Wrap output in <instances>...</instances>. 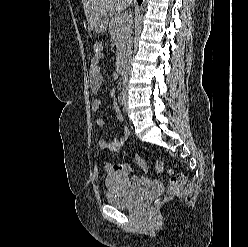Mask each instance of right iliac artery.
I'll return each instance as SVG.
<instances>
[{"mask_svg":"<svg viewBox=\"0 0 248 247\" xmlns=\"http://www.w3.org/2000/svg\"><path fill=\"white\" fill-rule=\"evenodd\" d=\"M118 101H119L120 105L124 104V93H123V91L119 94Z\"/></svg>","mask_w":248,"mask_h":247,"instance_id":"82829eb1","label":"right iliac artery"}]
</instances>
